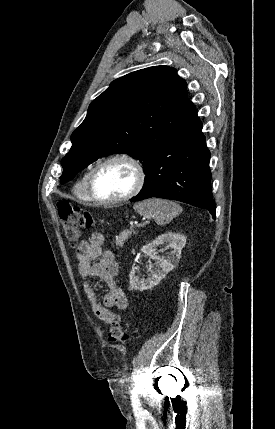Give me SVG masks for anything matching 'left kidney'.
<instances>
[{"mask_svg":"<svg viewBox=\"0 0 275 429\" xmlns=\"http://www.w3.org/2000/svg\"><path fill=\"white\" fill-rule=\"evenodd\" d=\"M166 244V249L171 248L166 258L157 255V247ZM186 244V237L183 234H176L167 232L158 236L149 244L141 248V252L150 256L155 263L152 265L151 277L147 279L140 278L137 275V267L132 266L129 274V286L131 290L144 291L156 286L163 278L166 277L168 272L174 269L178 264L181 251Z\"/></svg>","mask_w":275,"mask_h":429,"instance_id":"left-kidney-1","label":"left kidney"}]
</instances>
